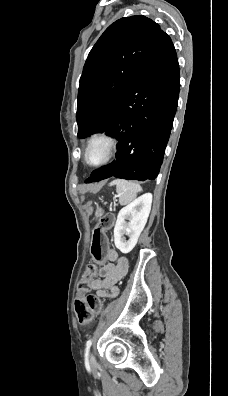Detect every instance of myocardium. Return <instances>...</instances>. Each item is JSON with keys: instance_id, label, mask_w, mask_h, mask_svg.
I'll return each mask as SVG.
<instances>
[{"instance_id": "obj_1", "label": "myocardium", "mask_w": 228, "mask_h": 396, "mask_svg": "<svg viewBox=\"0 0 228 396\" xmlns=\"http://www.w3.org/2000/svg\"><path fill=\"white\" fill-rule=\"evenodd\" d=\"M103 141L106 143L107 146V152L105 157L99 161V162H91L88 158V152L89 149L91 147V145L95 142V141ZM116 148H117V141L116 139L110 135L107 132H98L93 134L92 136L89 137V139L87 140L86 143V147L84 150V160L86 162L87 165L91 166V167H102L107 165L115 156L116 153Z\"/></svg>"}]
</instances>
